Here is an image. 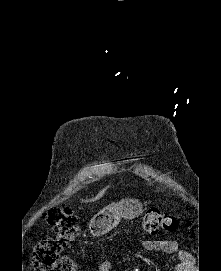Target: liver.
I'll return each instance as SVG.
<instances>
[{
  "label": "liver",
  "mask_w": 221,
  "mask_h": 271,
  "mask_svg": "<svg viewBox=\"0 0 221 271\" xmlns=\"http://www.w3.org/2000/svg\"><path fill=\"white\" fill-rule=\"evenodd\" d=\"M106 189H102V191H99V193H97L96 197H94V199H99V197H102V195H104Z\"/></svg>",
  "instance_id": "obj_1"
}]
</instances>
